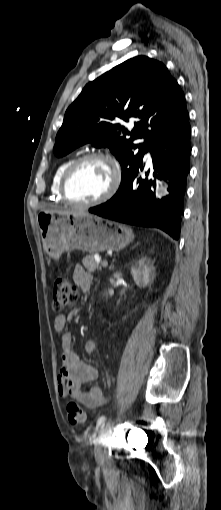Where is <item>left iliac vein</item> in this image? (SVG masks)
<instances>
[{
	"mask_svg": "<svg viewBox=\"0 0 221 510\" xmlns=\"http://www.w3.org/2000/svg\"><path fill=\"white\" fill-rule=\"evenodd\" d=\"M112 428H113L112 423L108 422L100 432L99 444L95 448V457L98 462L102 461L101 443H104L107 439H109L112 432Z\"/></svg>",
	"mask_w": 221,
	"mask_h": 510,
	"instance_id": "obj_1",
	"label": "left iliac vein"
}]
</instances>
